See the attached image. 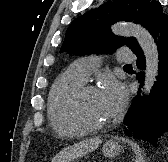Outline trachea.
I'll return each mask as SVG.
<instances>
[{
	"mask_svg": "<svg viewBox=\"0 0 168 162\" xmlns=\"http://www.w3.org/2000/svg\"><path fill=\"white\" fill-rule=\"evenodd\" d=\"M124 67H132V65L131 64H127Z\"/></svg>",
	"mask_w": 168,
	"mask_h": 162,
	"instance_id": "3493384b",
	"label": "trachea"
}]
</instances>
